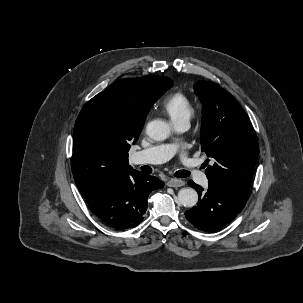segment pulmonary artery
Segmentation results:
<instances>
[{
	"label": "pulmonary artery",
	"instance_id": "obj_1",
	"mask_svg": "<svg viewBox=\"0 0 303 303\" xmlns=\"http://www.w3.org/2000/svg\"><path fill=\"white\" fill-rule=\"evenodd\" d=\"M188 122H182L176 125V129L180 132L185 131L188 128ZM178 145L176 143L172 144H161L158 146H154L148 148L146 150H142L136 152L132 156V162L134 164H160L168 161L172 158L177 152ZM184 165L188 168L189 172L193 176L194 180L201 184L207 185V177L206 175L197 169V163L193 159L184 158Z\"/></svg>",
	"mask_w": 303,
	"mask_h": 303
}]
</instances>
